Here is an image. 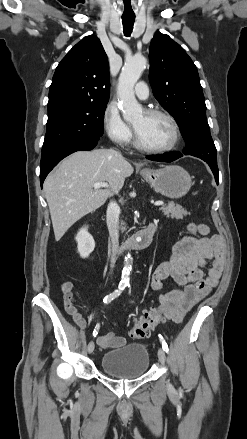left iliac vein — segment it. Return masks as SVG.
<instances>
[{"label": "left iliac vein", "instance_id": "obj_1", "mask_svg": "<svg viewBox=\"0 0 247 439\" xmlns=\"http://www.w3.org/2000/svg\"><path fill=\"white\" fill-rule=\"evenodd\" d=\"M158 358H159V361L161 362V364H165L166 356H165L164 350L162 348H159V350H158Z\"/></svg>", "mask_w": 247, "mask_h": 439}]
</instances>
